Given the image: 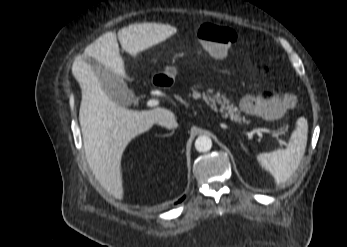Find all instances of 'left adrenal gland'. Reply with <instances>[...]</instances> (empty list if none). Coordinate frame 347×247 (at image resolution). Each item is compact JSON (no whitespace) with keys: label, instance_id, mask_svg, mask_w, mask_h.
<instances>
[{"label":"left adrenal gland","instance_id":"a2214340","mask_svg":"<svg viewBox=\"0 0 347 247\" xmlns=\"http://www.w3.org/2000/svg\"><path fill=\"white\" fill-rule=\"evenodd\" d=\"M241 146L243 147V149L247 152V149L245 148V146L243 145V143L241 142Z\"/></svg>","mask_w":347,"mask_h":247}]
</instances>
